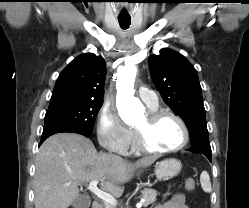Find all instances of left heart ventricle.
<instances>
[{
    "label": "left heart ventricle",
    "instance_id": "obj_1",
    "mask_svg": "<svg viewBox=\"0 0 249 208\" xmlns=\"http://www.w3.org/2000/svg\"><path fill=\"white\" fill-rule=\"evenodd\" d=\"M146 116L141 118L135 128L146 125ZM146 142L155 149H171L183 140V131L179 123L169 117L163 118L155 126L146 131Z\"/></svg>",
    "mask_w": 249,
    "mask_h": 208
}]
</instances>
